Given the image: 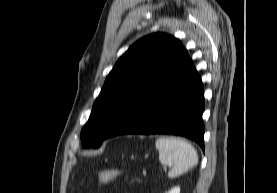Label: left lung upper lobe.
<instances>
[{
	"mask_svg": "<svg viewBox=\"0 0 277 193\" xmlns=\"http://www.w3.org/2000/svg\"><path fill=\"white\" fill-rule=\"evenodd\" d=\"M182 43L164 33L134 43L117 61L81 131L84 147L98 148L124 114L189 60Z\"/></svg>",
	"mask_w": 277,
	"mask_h": 193,
	"instance_id": "5c2ea615",
	"label": "left lung upper lobe"
}]
</instances>
